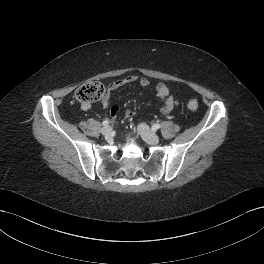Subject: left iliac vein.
Listing matches in <instances>:
<instances>
[{
  "label": "left iliac vein",
  "mask_w": 264,
  "mask_h": 264,
  "mask_svg": "<svg viewBox=\"0 0 264 264\" xmlns=\"http://www.w3.org/2000/svg\"><path fill=\"white\" fill-rule=\"evenodd\" d=\"M138 132L141 137L149 144H157L159 137L145 123L138 125Z\"/></svg>",
  "instance_id": "1"
}]
</instances>
